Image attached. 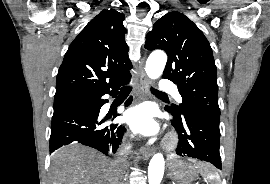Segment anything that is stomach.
Segmentation results:
<instances>
[{
    "mask_svg": "<svg viewBox=\"0 0 270 184\" xmlns=\"http://www.w3.org/2000/svg\"><path fill=\"white\" fill-rule=\"evenodd\" d=\"M169 176L177 184H191L197 176L196 167L190 163L181 160H172L169 163Z\"/></svg>",
    "mask_w": 270,
    "mask_h": 184,
    "instance_id": "0dacf381",
    "label": "stomach"
}]
</instances>
